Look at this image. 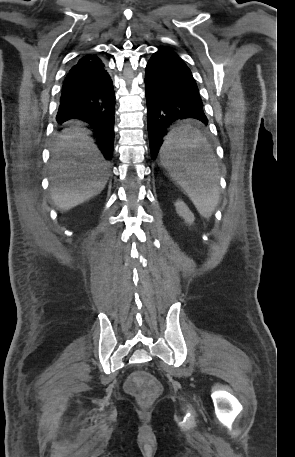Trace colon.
Listing matches in <instances>:
<instances>
[{
	"mask_svg": "<svg viewBox=\"0 0 295 457\" xmlns=\"http://www.w3.org/2000/svg\"><path fill=\"white\" fill-rule=\"evenodd\" d=\"M127 382V389L132 390L142 400L148 401L153 398L159 391L156 374H130Z\"/></svg>",
	"mask_w": 295,
	"mask_h": 457,
	"instance_id": "obj_1",
	"label": "colon"
}]
</instances>
